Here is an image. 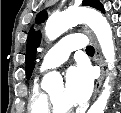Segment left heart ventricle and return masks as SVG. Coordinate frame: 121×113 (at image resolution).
<instances>
[{"label":"left heart ventricle","mask_w":121,"mask_h":113,"mask_svg":"<svg viewBox=\"0 0 121 113\" xmlns=\"http://www.w3.org/2000/svg\"><path fill=\"white\" fill-rule=\"evenodd\" d=\"M50 94L59 106L61 107L70 106L69 102L65 98L63 86H58L54 88L50 92Z\"/></svg>","instance_id":"1"}]
</instances>
